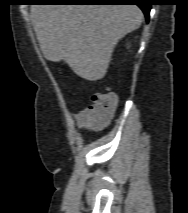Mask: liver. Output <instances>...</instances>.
<instances>
[{
	"mask_svg": "<svg viewBox=\"0 0 188 213\" xmlns=\"http://www.w3.org/2000/svg\"><path fill=\"white\" fill-rule=\"evenodd\" d=\"M34 30L44 57L64 60L79 77L96 81L107 73L118 41L138 29L136 5L36 4Z\"/></svg>",
	"mask_w": 188,
	"mask_h": 213,
	"instance_id": "1",
	"label": "liver"
}]
</instances>
